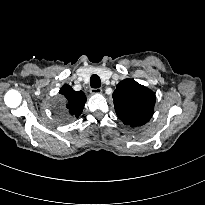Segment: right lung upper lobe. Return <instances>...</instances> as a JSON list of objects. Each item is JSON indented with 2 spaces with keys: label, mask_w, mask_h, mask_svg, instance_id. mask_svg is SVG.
<instances>
[{
  "label": "right lung upper lobe",
  "mask_w": 205,
  "mask_h": 205,
  "mask_svg": "<svg viewBox=\"0 0 205 205\" xmlns=\"http://www.w3.org/2000/svg\"><path fill=\"white\" fill-rule=\"evenodd\" d=\"M63 110L71 116L78 118L86 103V96L82 91H74L71 86L65 84L59 91Z\"/></svg>",
  "instance_id": "right-lung-upper-lobe-1"
}]
</instances>
